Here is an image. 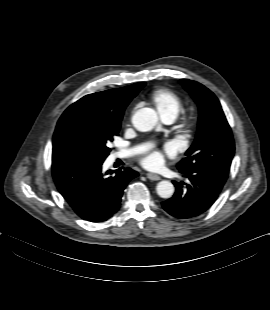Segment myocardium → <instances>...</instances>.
I'll return each mask as SVG.
<instances>
[{
  "instance_id": "f54148a6",
  "label": "myocardium",
  "mask_w": 270,
  "mask_h": 310,
  "mask_svg": "<svg viewBox=\"0 0 270 310\" xmlns=\"http://www.w3.org/2000/svg\"><path fill=\"white\" fill-rule=\"evenodd\" d=\"M194 118L192 116H182L180 118V123L178 125L179 131L184 135L188 136V134L192 131L194 126Z\"/></svg>"
}]
</instances>
